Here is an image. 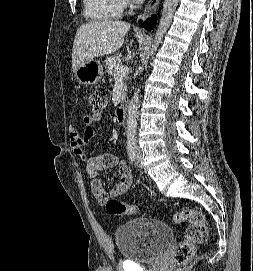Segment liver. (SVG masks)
I'll return each mask as SVG.
<instances>
[{"label":"liver","mask_w":253,"mask_h":271,"mask_svg":"<svg viewBox=\"0 0 253 271\" xmlns=\"http://www.w3.org/2000/svg\"><path fill=\"white\" fill-rule=\"evenodd\" d=\"M130 24L124 21H95L78 28L72 50V69L95 57L118 51L129 31Z\"/></svg>","instance_id":"6515ba94"}]
</instances>
